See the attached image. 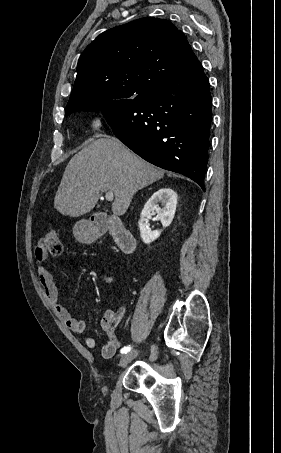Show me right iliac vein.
<instances>
[{
	"instance_id": "obj_1",
	"label": "right iliac vein",
	"mask_w": 281,
	"mask_h": 453,
	"mask_svg": "<svg viewBox=\"0 0 281 453\" xmlns=\"http://www.w3.org/2000/svg\"><path fill=\"white\" fill-rule=\"evenodd\" d=\"M139 353H140L139 351H136V352L135 351H131L130 353H127V355L122 356L121 362L119 363V366L121 368H124L126 365H128L130 359L133 358L135 355L138 356Z\"/></svg>"
}]
</instances>
